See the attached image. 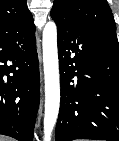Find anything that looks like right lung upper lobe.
Masks as SVG:
<instances>
[{
  "label": "right lung upper lobe",
  "instance_id": "cb5924a9",
  "mask_svg": "<svg viewBox=\"0 0 119 141\" xmlns=\"http://www.w3.org/2000/svg\"><path fill=\"white\" fill-rule=\"evenodd\" d=\"M32 19L26 0H0V30Z\"/></svg>",
  "mask_w": 119,
  "mask_h": 141
}]
</instances>
